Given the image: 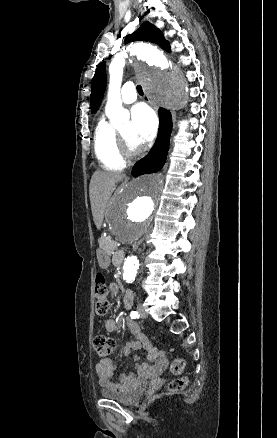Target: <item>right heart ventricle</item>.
<instances>
[{"mask_svg": "<svg viewBox=\"0 0 277 438\" xmlns=\"http://www.w3.org/2000/svg\"><path fill=\"white\" fill-rule=\"evenodd\" d=\"M94 150L104 169L115 172L124 169L125 161L116 143V132L105 117L100 119L96 127Z\"/></svg>", "mask_w": 277, "mask_h": 438, "instance_id": "right-heart-ventricle-1", "label": "right heart ventricle"}]
</instances>
